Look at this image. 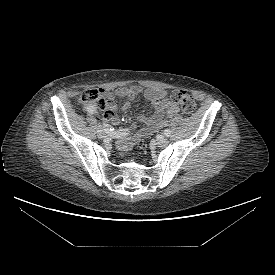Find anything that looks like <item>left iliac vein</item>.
Segmentation results:
<instances>
[{"instance_id":"obj_1","label":"left iliac vein","mask_w":275,"mask_h":275,"mask_svg":"<svg viewBox=\"0 0 275 275\" xmlns=\"http://www.w3.org/2000/svg\"><path fill=\"white\" fill-rule=\"evenodd\" d=\"M168 143H169V141H168L165 137H159V138L157 139V144H158V146H160V147H165V146L168 145Z\"/></svg>"}]
</instances>
